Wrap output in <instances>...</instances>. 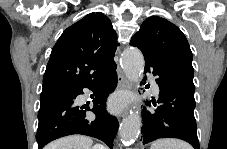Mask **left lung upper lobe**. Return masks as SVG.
Wrapping results in <instances>:
<instances>
[{"label":"left lung upper lobe","instance_id":"left-lung-upper-lobe-1","mask_svg":"<svg viewBox=\"0 0 227 149\" xmlns=\"http://www.w3.org/2000/svg\"><path fill=\"white\" fill-rule=\"evenodd\" d=\"M134 42L143 45L144 52L173 78L195 90L192 52L186 37L176 25L158 16L149 17L132 37L130 45Z\"/></svg>","mask_w":227,"mask_h":149}]
</instances>
